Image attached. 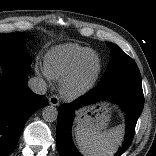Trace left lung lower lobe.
I'll use <instances>...</instances> for the list:
<instances>
[{
  "instance_id": "0a47b994",
  "label": "left lung lower lobe",
  "mask_w": 156,
  "mask_h": 156,
  "mask_svg": "<svg viewBox=\"0 0 156 156\" xmlns=\"http://www.w3.org/2000/svg\"><path fill=\"white\" fill-rule=\"evenodd\" d=\"M100 99H110L118 103L126 114V136L123 146L115 154L120 156L130 146L137 120L143 110L144 96L142 84L131 82H111L97 85L85 95L70 104L58 108L56 143L60 156H81L71 139V126L76 109Z\"/></svg>"
}]
</instances>
